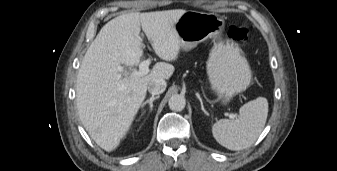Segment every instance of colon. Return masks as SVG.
Masks as SVG:
<instances>
[{"mask_svg":"<svg viewBox=\"0 0 337 171\" xmlns=\"http://www.w3.org/2000/svg\"><path fill=\"white\" fill-rule=\"evenodd\" d=\"M226 35L234 41H245L249 36V31L244 27L232 25L227 28Z\"/></svg>","mask_w":337,"mask_h":171,"instance_id":"obj_1","label":"colon"}]
</instances>
